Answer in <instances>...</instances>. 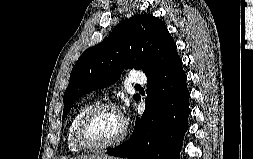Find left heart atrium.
I'll use <instances>...</instances> for the list:
<instances>
[{
  "mask_svg": "<svg viewBox=\"0 0 253 159\" xmlns=\"http://www.w3.org/2000/svg\"><path fill=\"white\" fill-rule=\"evenodd\" d=\"M121 117H122V119H124V118H123V114H122V113H121Z\"/></svg>",
  "mask_w": 253,
  "mask_h": 159,
  "instance_id": "left-heart-atrium-1",
  "label": "left heart atrium"
}]
</instances>
